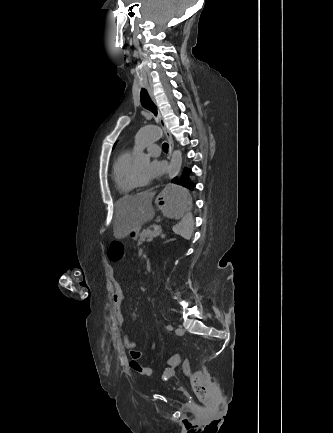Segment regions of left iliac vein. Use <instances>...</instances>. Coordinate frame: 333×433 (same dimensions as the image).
<instances>
[{"instance_id": "4c4485c4", "label": "left iliac vein", "mask_w": 333, "mask_h": 433, "mask_svg": "<svg viewBox=\"0 0 333 433\" xmlns=\"http://www.w3.org/2000/svg\"><path fill=\"white\" fill-rule=\"evenodd\" d=\"M175 332L177 335H183L185 333V330L183 328H177Z\"/></svg>"}]
</instances>
